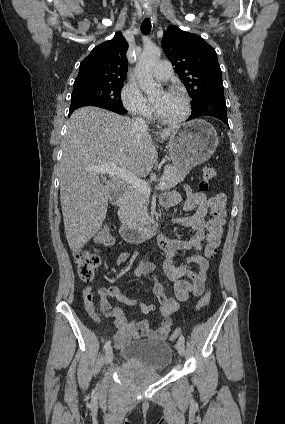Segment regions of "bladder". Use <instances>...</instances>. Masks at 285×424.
Wrapping results in <instances>:
<instances>
[{
  "instance_id": "bladder-1",
  "label": "bladder",
  "mask_w": 285,
  "mask_h": 424,
  "mask_svg": "<svg viewBox=\"0 0 285 424\" xmlns=\"http://www.w3.org/2000/svg\"><path fill=\"white\" fill-rule=\"evenodd\" d=\"M125 363L134 364L153 377L164 373L172 363V347L165 341L140 339L130 341L121 349Z\"/></svg>"
}]
</instances>
